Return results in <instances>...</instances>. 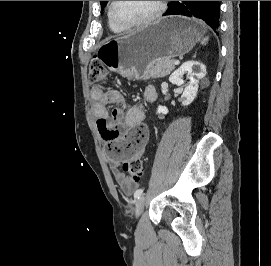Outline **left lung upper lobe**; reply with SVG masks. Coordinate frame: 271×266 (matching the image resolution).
Returning a JSON list of instances; mask_svg holds the SVG:
<instances>
[{"label":"left lung upper lobe","instance_id":"obj_1","mask_svg":"<svg viewBox=\"0 0 271 266\" xmlns=\"http://www.w3.org/2000/svg\"><path fill=\"white\" fill-rule=\"evenodd\" d=\"M108 1H101V11L104 9Z\"/></svg>","mask_w":271,"mask_h":266}]
</instances>
